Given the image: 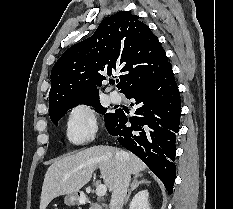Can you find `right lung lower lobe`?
I'll list each match as a JSON object with an SVG mask.
<instances>
[{
	"instance_id": "right-lung-lower-lobe-1",
	"label": "right lung lower lobe",
	"mask_w": 233,
	"mask_h": 209,
	"mask_svg": "<svg viewBox=\"0 0 233 209\" xmlns=\"http://www.w3.org/2000/svg\"><path fill=\"white\" fill-rule=\"evenodd\" d=\"M125 96L140 104L135 116L128 118L125 112L117 110L106 128L160 178L171 194L176 176L175 140L181 116L180 93L171 64L157 78Z\"/></svg>"
}]
</instances>
